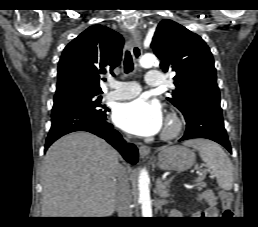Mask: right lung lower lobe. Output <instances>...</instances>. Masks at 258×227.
<instances>
[{"mask_svg": "<svg viewBox=\"0 0 258 227\" xmlns=\"http://www.w3.org/2000/svg\"><path fill=\"white\" fill-rule=\"evenodd\" d=\"M52 125L46 139L45 150L61 136L74 131L91 132L114 146L128 162L138 161V150L134 144L126 145L122 136L113 129L106 118H99L75 108L52 110Z\"/></svg>", "mask_w": 258, "mask_h": 227, "instance_id": "1", "label": "right lung lower lobe"}]
</instances>
